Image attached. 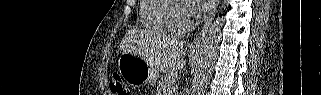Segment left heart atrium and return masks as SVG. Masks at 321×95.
Instances as JSON below:
<instances>
[{
    "instance_id": "left-heart-atrium-1",
    "label": "left heart atrium",
    "mask_w": 321,
    "mask_h": 95,
    "mask_svg": "<svg viewBox=\"0 0 321 95\" xmlns=\"http://www.w3.org/2000/svg\"><path fill=\"white\" fill-rule=\"evenodd\" d=\"M191 6L186 8V12L189 16L198 17L206 12L214 0H190Z\"/></svg>"
}]
</instances>
